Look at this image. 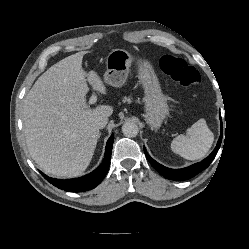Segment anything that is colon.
<instances>
[{"instance_id": "5ec220e1", "label": "colon", "mask_w": 249, "mask_h": 249, "mask_svg": "<svg viewBox=\"0 0 249 249\" xmlns=\"http://www.w3.org/2000/svg\"><path fill=\"white\" fill-rule=\"evenodd\" d=\"M159 64L164 74L182 86H194L200 83L199 72L189 66L184 59L165 55Z\"/></svg>"}]
</instances>
